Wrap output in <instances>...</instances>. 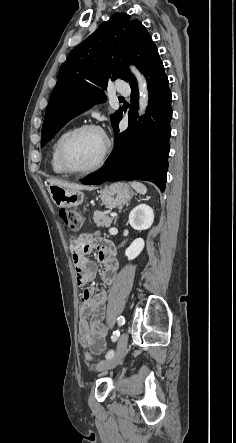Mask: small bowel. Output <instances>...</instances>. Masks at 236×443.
Here are the masks:
<instances>
[{"mask_svg":"<svg viewBox=\"0 0 236 443\" xmlns=\"http://www.w3.org/2000/svg\"><path fill=\"white\" fill-rule=\"evenodd\" d=\"M72 258L76 267V281L83 287L91 283L97 276L94 262L85 254L91 250L97 251L98 262L102 265L100 279L105 284H112L116 277L119 264L115 258L114 245L98 237L80 235L70 243ZM107 293L95 292L93 287L85 288L79 306L78 332L80 343L95 354L105 349L106 327L103 323Z\"/></svg>","mask_w":236,"mask_h":443,"instance_id":"small-bowel-1","label":"small bowel"}]
</instances>
